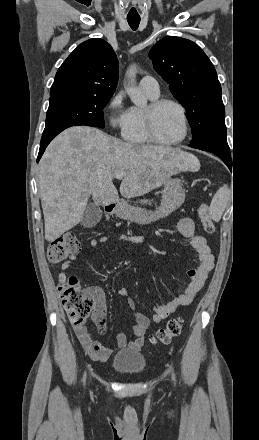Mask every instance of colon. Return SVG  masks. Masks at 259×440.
Segmentation results:
<instances>
[{
    "instance_id": "5ec220e1",
    "label": "colon",
    "mask_w": 259,
    "mask_h": 440,
    "mask_svg": "<svg viewBox=\"0 0 259 440\" xmlns=\"http://www.w3.org/2000/svg\"><path fill=\"white\" fill-rule=\"evenodd\" d=\"M198 214L207 233L214 231V224L209 214V207L202 203L198 208ZM82 248L81 241L72 233H66L53 240L48 247L47 259L51 265L58 264L67 258L76 255ZM62 304L67 312L71 324L75 327L85 326L92 308L95 306V298L91 288L80 287L75 276H70L58 287ZM183 320L176 318L170 320L165 328H162L151 337L153 344H169L178 336L182 329Z\"/></svg>"
}]
</instances>
